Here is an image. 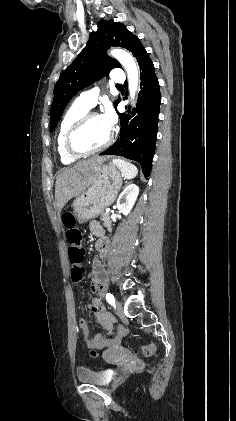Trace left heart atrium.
I'll use <instances>...</instances> for the list:
<instances>
[{
	"label": "left heart atrium",
	"mask_w": 236,
	"mask_h": 421,
	"mask_svg": "<svg viewBox=\"0 0 236 421\" xmlns=\"http://www.w3.org/2000/svg\"><path fill=\"white\" fill-rule=\"evenodd\" d=\"M101 119L109 130L113 129L116 123V117L111 108L106 109V111L101 115Z\"/></svg>",
	"instance_id": "obj_1"
}]
</instances>
